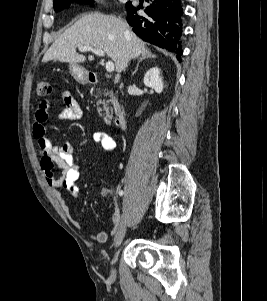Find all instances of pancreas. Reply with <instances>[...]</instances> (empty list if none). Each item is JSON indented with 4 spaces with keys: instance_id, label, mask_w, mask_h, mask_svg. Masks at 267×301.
Here are the masks:
<instances>
[{
    "instance_id": "pancreas-1",
    "label": "pancreas",
    "mask_w": 267,
    "mask_h": 301,
    "mask_svg": "<svg viewBox=\"0 0 267 301\" xmlns=\"http://www.w3.org/2000/svg\"><path fill=\"white\" fill-rule=\"evenodd\" d=\"M97 96H104L106 97V99H99L97 101V110L99 112V114H102V111H105V115H104V119L107 123L111 122L112 119V115H110V111H112V108L109 106V104L111 103L113 106H117L118 105V101L117 98L115 96V94L113 93V91H99ZM107 96H109V99H107ZM100 105H102V108L99 107Z\"/></svg>"
}]
</instances>
